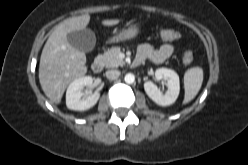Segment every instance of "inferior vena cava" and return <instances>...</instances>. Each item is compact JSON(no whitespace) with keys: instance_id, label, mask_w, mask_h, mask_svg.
<instances>
[{"instance_id":"602c4592","label":"inferior vena cava","mask_w":248,"mask_h":165,"mask_svg":"<svg viewBox=\"0 0 248 165\" xmlns=\"http://www.w3.org/2000/svg\"><path fill=\"white\" fill-rule=\"evenodd\" d=\"M120 76V71L118 70H108L106 71V77L110 80H115Z\"/></svg>"}]
</instances>
